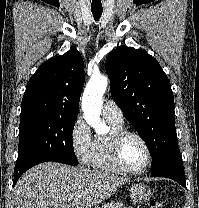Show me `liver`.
Instances as JSON below:
<instances>
[{
	"mask_svg": "<svg viewBox=\"0 0 199 208\" xmlns=\"http://www.w3.org/2000/svg\"><path fill=\"white\" fill-rule=\"evenodd\" d=\"M129 182L107 171L42 163L18 180L13 191L15 208H91ZM68 198H72L70 205Z\"/></svg>",
	"mask_w": 199,
	"mask_h": 208,
	"instance_id": "liver-1",
	"label": "liver"
}]
</instances>
